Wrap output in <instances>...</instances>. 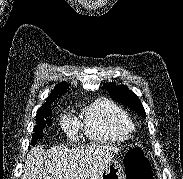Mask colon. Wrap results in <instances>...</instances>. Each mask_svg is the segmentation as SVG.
I'll return each mask as SVG.
<instances>
[{"label":"colon","instance_id":"colon-1","mask_svg":"<svg viewBox=\"0 0 183 179\" xmlns=\"http://www.w3.org/2000/svg\"><path fill=\"white\" fill-rule=\"evenodd\" d=\"M126 179H153L151 164L139 148L130 149L124 159Z\"/></svg>","mask_w":183,"mask_h":179}]
</instances>
